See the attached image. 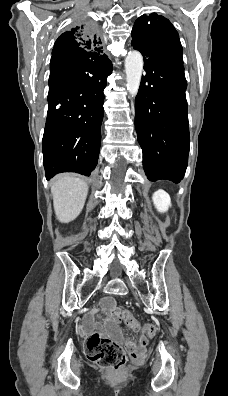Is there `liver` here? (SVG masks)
<instances>
[{"mask_svg": "<svg viewBox=\"0 0 228 396\" xmlns=\"http://www.w3.org/2000/svg\"><path fill=\"white\" fill-rule=\"evenodd\" d=\"M51 193L57 219L69 223L81 213L88 193V185L81 179L70 175L55 178Z\"/></svg>", "mask_w": 228, "mask_h": 396, "instance_id": "6515ba94", "label": "liver"}]
</instances>
